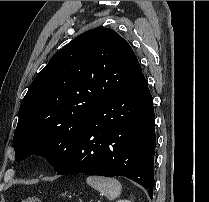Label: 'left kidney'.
Returning <instances> with one entry per match:
<instances>
[{"label": "left kidney", "instance_id": "left-kidney-1", "mask_svg": "<svg viewBox=\"0 0 209 202\" xmlns=\"http://www.w3.org/2000/svg\"><path fill=\"white\" fill-rule=\"evenodd\" d=\"M116 202H131L130 200H118Z\"/></svg>", "mask_w": 209, "mask_h": 202}]
</instances>
